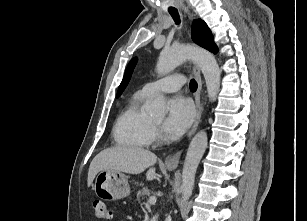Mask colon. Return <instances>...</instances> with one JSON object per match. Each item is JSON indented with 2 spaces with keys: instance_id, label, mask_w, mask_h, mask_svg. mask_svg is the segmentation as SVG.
I'll use <instances>...</instances> for the list:
<instances>
[{
  "instance_id": "colon-1",
  "label": "colon",
  "mask_w": 307,
  "mask_h": 221,
  "mask_svg": "<svg viewBox=\"0 0 307 221\" xmlns=\"http://www.w3.org/2000/svg\"><path fill=\"white\" fill-rule=\"evenodd\" d=\"M95 217L99 220L109 219L111 217V211L106 202L102 200H95L93 203Z\"/></svg>"
}]
</instances>
